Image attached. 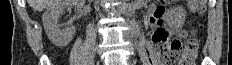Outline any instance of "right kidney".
I'll use <instances>...</instances> for the list:
<instances>
[{"mask_svg":"<svg viewBox=\"0 0 232 65\" xmlns=\"http://www.w3.org/2000/svg\"><path fill=\"white\" fill-rule=\"evenodd\" d=\"M75 5V0H56L42 15L43 26L50 41L59 47L67 46L75 35V27L69 25L61 29L58 18L67 7Z\"/></svg>","mask_w":232,"mask_h":65,"instance_id":"right-kidney-1","label":"right kidney"}]
</instances>
